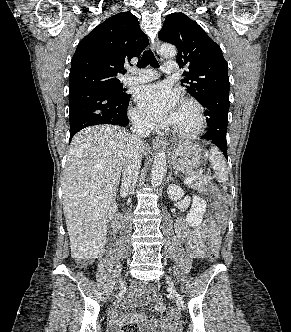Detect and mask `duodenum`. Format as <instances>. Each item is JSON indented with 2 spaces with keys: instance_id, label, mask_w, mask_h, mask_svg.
I'll list each match as a JSON object with an SVG mask.
<instances>
[{
  "instance_id": "1",
  "label": "duodenum",
  "mask_w": 291,
  "mask_h": 332,
  "mask_svg": "<svg viewBox=\"0 0 291 332\" xmlns=\"http://www.w3.org/2000/svg\"><path fill=\"white\" fill-rule=\"evenodd\" d=\"M121 221H122L121 216L118 215V216L115 217V219L113 221V226H114L115 229H118L120 227Z\"/></svg>"
}]
</instances>
